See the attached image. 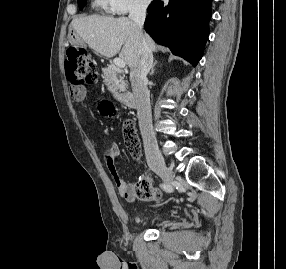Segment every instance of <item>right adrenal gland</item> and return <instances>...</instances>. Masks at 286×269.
<instances>
[{"instance_id":"1","label":"right adrenal gland","mask_w":286,"mask_h":269,"mask_svg":"<svg viewBox=\"0 0 286 269\" xmlns=\"http://www.w3.org/2000/svg\"><path fill=\"white\" fill-rule=\"evenodd\" d=\"M156 64H157V61L155 60L154 61V63H153V65H152V68H151V75H153L154 74V72H155V66H156Z\"/></svg>"}]
</instances>
